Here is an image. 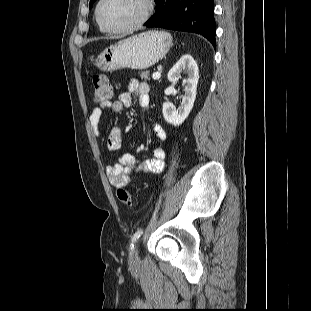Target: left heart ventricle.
<instances>
[{
	"label": "left heart ventricle",
	"instance_id": "1",
	"mask_svg": "<svg viewBox=\"0 0 311 311\" xmlns=\"http://www.w3.org/2000/svg\"><path fill=\"white\" fill-rule=\"evenodd\" d=\"M143 10L141 0H105L101 6V19L111 27H126L136 21Z\"/></svg>",
	"mask_w": 311,
	"mask_h": 311
}]
</instances>
